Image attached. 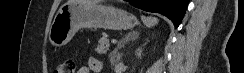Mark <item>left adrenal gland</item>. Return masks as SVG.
<instances>
[{"label": "left adrenal gland", "mask_w": 244, "mask_h": 73, "mask_svg": "<svg viewBox=\"0 0 244 73\" xmlns=\"http://www.w3.org/2000/svg\"><path fill=\"white\" fill-rule=\"evenodd\" d=\"M138 37H139L138 31H132V32L128 33L123 39H121L119 41L115 51L117 52L118 49H121L122 47H124L128 41H131V40L133 41V40L137 39Z\"/></svg>", "instance_id": "left-adrenal-gland-1"}]
</instances>
